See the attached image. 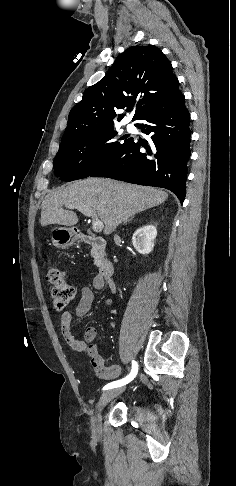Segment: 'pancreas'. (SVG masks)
Wrapping results in <instances>:
<instances>
[{
	"label": "pancreas",
	"mask_w": 236,
	"mask_h": 486,
	"mask_svg": "<svg viewBox=\"0 0 236 486\" xmlns=\"http://www.w3.org/2000/svg\"><path fill=\"white\" fill-rule=\"evenodd\" d=\"M99 264H100L99 258L96 255H94V265L99 266Z\"/></svg>",
	"instance_id": "obj_1"
}]
</instances>
